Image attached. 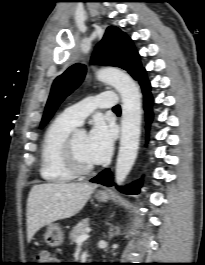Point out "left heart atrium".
I'll return each instance as SVG.
<instances>
[{
    "mask_svg": "<svg viewBox=\"0 0 205 265\" xmlns=\"http://www.w3.org/2000/svg\"><path fill=\"white\" fill-rule=\"evenodd\" d=\"M113 130L103 120L98 119L87 135V152L94 164L107 160L112 152Z\"/></svg>",
    "mask_w": 205,
    "mask_h": 265,
    "instance_id": "left-heart-atrium-1",
    "label": "left heart atrium"
}]
</instances>
